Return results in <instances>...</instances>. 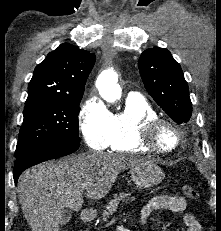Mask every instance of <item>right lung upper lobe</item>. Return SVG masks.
Here are the masks:
<instances>
[{
    "label": "right lung upper lobe",
    "mask_w": 221,
    "mask_h": 231,
    "mask_svg": "<svg viewBox=\"0 0 221 231\" xmlns=\"http://www.w3.org/2000/svg\"><path fill=\"white\" fill-rule=\"evenodd\" d=\"M95 55L64 43L36 66L25 103L80 98L94 66Z\"/></svg>",
    "instance_id": "cb5924a9"
}]
</instances>
